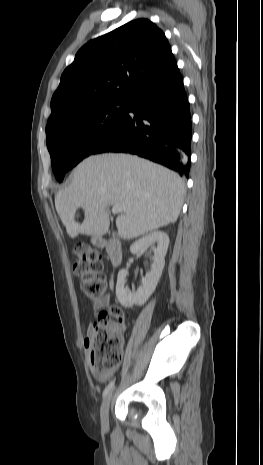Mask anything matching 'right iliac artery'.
I'll list each match as a JSON object with an SVG mask.
<instances>
[{
  "label": "right iliac artery",
  "instance_id": "obj_1",
  "mask_svg": "<svg viewBox=\"0 0 263 465\" xmlns=\"http://www.w3.org/2000/svg\"><path fill=\"white\" fill-rule=\"evenodd\" d=\"M114 386H115V381H112L107 385V387L103 391V398H105L109 394V392L114 388Z\"/></svg>",
  "mask_w": 263,
  "mask_h": 465
}]
</instances>
